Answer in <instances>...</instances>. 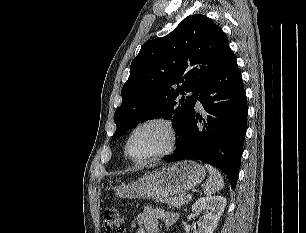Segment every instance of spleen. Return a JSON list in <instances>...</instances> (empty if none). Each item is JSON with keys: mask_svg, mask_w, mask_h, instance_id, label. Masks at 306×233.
Returning a JSON list of instances; mask_svg holds the SVG:
<instances>
[{"mask_svg": "<svg viewBox=\"0 0 306 233\" xmlns=\"http://www.w3.org/2000/svg\"><path fill=\"white\" fill-rule=\"evenodd\" d=\"M209 171V178L204 188V194L210 196L224 187V181L220 172L211 165L205 164Z\"/></svg>", "mask_w": 306, "mask_h": 233, "instance_id": "3e777b00", "label": "spleen"}]
</instances>
